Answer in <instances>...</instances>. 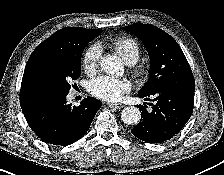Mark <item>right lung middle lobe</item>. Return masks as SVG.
<instances>
[{
  "label": "right lung middle lobe",
  "mask_w": 224,
  "mask_h": 175,
  "mask_svg": "<svg viewBox=\"0 0 224 175\" xmlns=\"http://www.w3.org/2000/svg\"><path fill=\"white\" fill-rule=\"evenodd\" d=\"M93 38L66 51H43L31 55L22 78L21 88H52L68 91L71 80L81 74V57Z\"/></svg>",
  "instance_id": "dd1d6c3e"
}]
</instances>
